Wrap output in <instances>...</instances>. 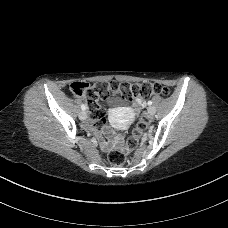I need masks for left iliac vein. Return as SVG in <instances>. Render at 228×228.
<instances>
[{
	"label": "left iliac vein",
	"mask_w": 228,
	"mask_h": 228,
	"mask_svg": "<svg viewBox=\"0 0 228 228\" xmlns=\"http://www.w3.org/2000/svg\"><path fill=\"white\" fill-rule=\"evenodd\" d=\"M155 114V108L154 107H149L148 108V115L153 116Z\"/></svg>",
	"instance_id": "4c4485c4"
}]
</instances>
